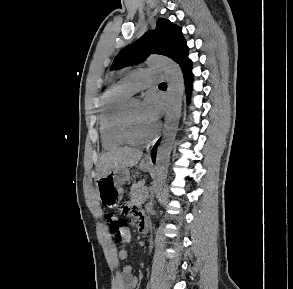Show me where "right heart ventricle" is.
<instances>
[{
    "instance_id": "obj_1",
    "label": "right heart ventricle",
    "mask_w": 293,
    "mask_h": 289,
    "mask_svg": "<svg viewBox=\"0 0 293 289\" xmlns=\"http://www.w3.org/2000/svg\"><path fill=\"white\" fill-rule=\"evenodd\" d=\"M132 93L120 83L105 92L100 112V134L104 149L113 150L127 143L122 132L123 113Z\"/></svg>"
}]
</instances>
